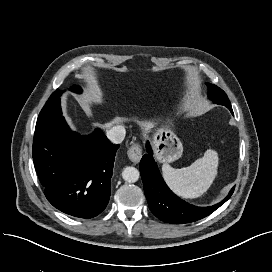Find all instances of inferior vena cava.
I'll return each instance as SVG.
<instances>
[{
  "instance_id": "602c4592",
  "label": "inferior vena cava",
  "mask_w": 272,
  "mask_h": 272,
  "mask_svg": "<svg viewBox=\"0 0 272 272\" xmlns=\"http://www.w3.org/2000/svg\"><path fill=\"white\" fill-rule=\"evenodd\" d=\"M126 135V130L123 126H114L109 131H107L108 139L114 143L118 144L121 143Z\"/></svg>"
}]
</instances>
